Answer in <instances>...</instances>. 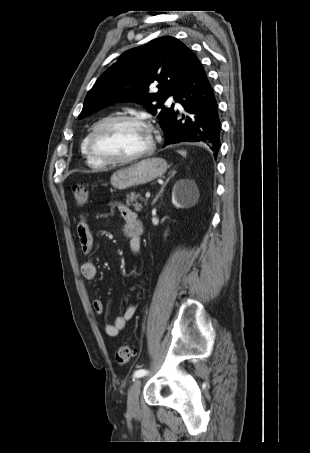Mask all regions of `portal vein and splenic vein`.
Masks as SVG:
<instances>
[{
	"label": "portal vein and splenic vein",
	"mask_w": 310,
	"mask_h": 453,
	"mask_svg": "<svg viewBox=\"0 0 310 453\" xmlns=\"http://www.w3.org/2000/svg\"><path fill=\"white\" fill-rule=\"evenodd\" d=\"M150 196H151V195H150V192H147L146 195H145L146 199H149Z\"/></svg>",
	"instance_id": "18ae733b"
}]
</instances>
